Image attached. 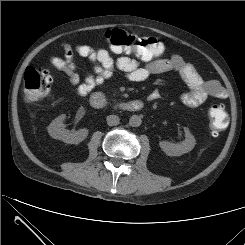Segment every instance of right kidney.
Listing matches in <instances>:
<instances>
[{"label":"right kidney","mask_w":245,"mask_h":245,"mask_svg":"<svg viewBox=\"0 0 245 245\" xmlns=\"http://www.w3.org/2000/svg\"><path fill=\"white\" fill-rule=\"evenodd\" d=\"M66 115L58 116L48 126L49 135L54 138L61 140L67 144H79L88 136V129H80L76 132H70L65 129L64 120Z\"/></svg>","instance_id":"right-kidney-1"}]
</instances>
